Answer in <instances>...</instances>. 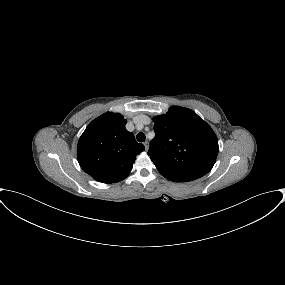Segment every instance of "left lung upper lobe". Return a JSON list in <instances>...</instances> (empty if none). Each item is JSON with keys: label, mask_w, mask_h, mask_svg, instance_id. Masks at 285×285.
Masks as SVG:
<instances>
[{"label": "left lung upper lobe", "mask_w": 285, "mask_h": 285, "mask_svg": "<svg viewBox=\"0 0 285 285\" xmlns=\"http://www.w3.org/2000/svg\"><path fill=\"white\" fill-rule=\"evenodd\" d=\"M155 137L148 155L160 174L174 182H188L207 174L218 154L211 127L194 111L172 106L153 119Z\"/></svg>", "instance_id": "left-lung-upper-lobe-1"}]
</instances>
